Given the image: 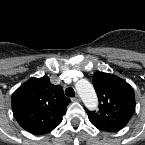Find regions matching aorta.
<instances>
[{
	"instance_id": "1",
	"label": "aorta",
	"mask_w": 145,
	"mask_h": 145,
	"mask_svg": "<svg viewBox=\"0 0 145 145\" xmlns=\"http://www.w3.org/2000/svg\"><path fill=\"white\" fill-rule=\"evenodd\" d=\"M75 87L84 105L90 110L96 109L98 98L93 85L88 80L81 79L76 83Z\"/></svg>"
}]
</instances>
